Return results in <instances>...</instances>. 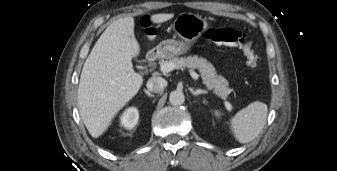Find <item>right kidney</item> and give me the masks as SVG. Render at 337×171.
<instances>
[{
  "label": "right kidney",
  "instance_id": "1",
  "mask_svg": "<svg viewBox=\"0 0 337 171\" xmlns=\"http://www.w3.org/2000/svg\"><path fill=\"white\" fill-rule=\"evenodd\" d=\"M138 119H139V112L137 108L131 107L126 109L122 114V116L120 117V124L122 127L130 130L136 126Z\"/></svg>",
  "mask_w": 337,
  "mask_h": 171
}]
</instances>
